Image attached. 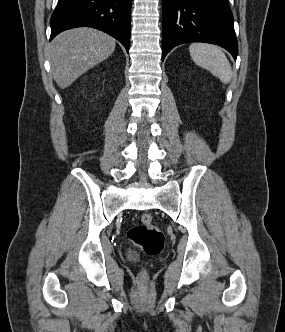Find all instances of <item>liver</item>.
I'll return each instance as SVG.
<instances>
[{
  "label": "liver",
  "mask_w": 285,
  "mask_h": 332,
  "mask_svg": "<svg viewBox=\"0 0 285 332\" xmlns=\"http://www.w3.org/2000/svg\"><path fill=\"white\" fill-rule=\"evenodd\" d=\"M115 39L92 28H75L60 33L49 45L51 72L62 89L86 71L106 60L115 50Z\"/></svg>",
  "instance_id": "6515ba94"
}]
</instances>
